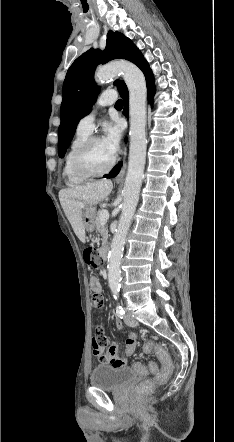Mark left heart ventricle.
<instances>
[{"instance_id": "1", "label": "left heart ventricle", "mask_w": 234, "mask_h": 442, "mask_svg": "<svg viewBox=\"0 0 234 442\" xmlns=\"http://www.w3.org/2000/svg\"><path fill=\"white\" fill-rule=\"evenodd\" d=\"M113 155L104 146L102 140L95 142L86 158L87 165L94 171L105 169L113 159Z\"/></svg>"}]
</instances>
